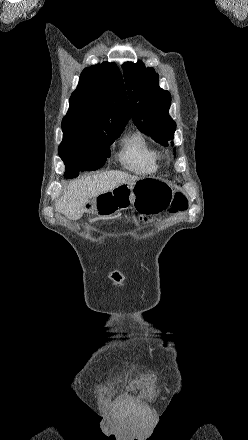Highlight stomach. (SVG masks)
Masks as SVG:
<instances>
[{"instance_id":"obj_1","label":"stomach","mask_w":248,"mask_h":440,"mask_svg":"<svg viewBox=\"0 0 248 440\" xmlns=\"http://www.w3.org/2000/svg\"><path fill=\"white\" fill-rule=\"evenodd\" d=\"M173 195L167 183L155 178H142L133 185L122 184L95 197L88 210L91 218H108L130 207L141 213L156 214L170 205Z\"/></svg>"}]
</instances>
